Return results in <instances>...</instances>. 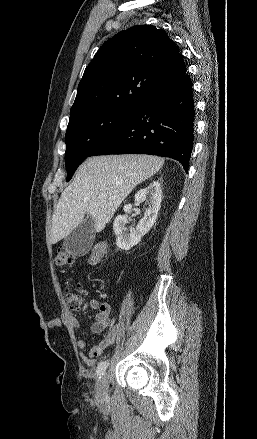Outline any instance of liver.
Masks as SVG:
<instances>
[{"mask_svg":"<svg viewBox=\"0 0 257 439\" xmlns=\"http://www.w3.org/2000/svg\"><path fill=\"white\" fill-rule=\"evenodd\" d=\"M163 163L164 159L151 155L88 158L58 201L52 217V244L66 238L85 215L94 221L95 231L101 232L129 193L154 175ZM100 194H107V198H99Z\"/></svg>","mask_w":257,"mask_h":439,"instance_id":"1","label":"liver"}]
</instances>
